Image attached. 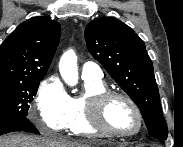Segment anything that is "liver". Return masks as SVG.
Listing matches in <instances>:
<instances>
[{"instance_id": "6515ba94", "label": "liver", "mask_w": 183, "mask_h": 147, "mask_svg": "<svg viewBox=\"0 0 183 147\" xmlns=\"http://www.w3.org/2000/svg\"><path fill=\"white\" fill-rule=\"evenodd\" d=\"M96 141L77 142L65 139H48L25 134L0 137V147H97Z\"/></svg>"}]
</instances>
